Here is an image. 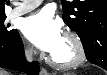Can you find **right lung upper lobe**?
<instances>
[{
	"label": "right lung upper lobe",
	"instance_id": "cb5924a9",
	"mask_svg": "<svg viewBox=\"0 0 107 75\" xmlns=\"http://www.w3.org/2000/svg\"><path fill=\"white\" fill-rule=\"evenodd\" d=\"M4 5H5V0H0V15H4Z\"/></svg>",
	"mask_w": 107,
	"mask_h": 75
}]
</instances>
